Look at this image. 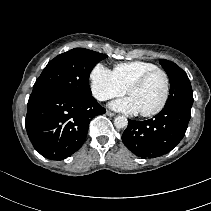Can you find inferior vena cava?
<instances>
[{
  "label": "inferior vena cava",
  "instance_id": "1",
  "mask_svg": "<svg viewBox=\"0 0 211 211\" xmlns=\"http://www.w3.org/2000/svg\"><path fill=\"white\" fill-rule=\"evenodd\" d=\"M99 97H100L101 100H107V98H108V97H107L106 95H104V94H101Z\"/></svg>",
  "mask_w": 211,
  "mask_h": 211
}]
</instances>
